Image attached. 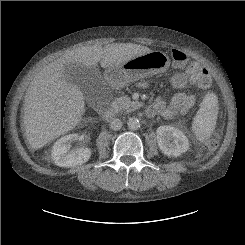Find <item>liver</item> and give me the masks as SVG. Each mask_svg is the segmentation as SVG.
Instances as JSON below:
<instances>
[{
    "mask_svg": "<svg viewBox=\"0 0 245 245\" xmlns=\"http://www.w3.org/2000/svg\"><path fill=\"white\" fill-rule=\"evenodd\" d=\"M133 43H113L77 48L49 63L34 77L25 95L24 129L30 146L37 150L75 128L85 112L84 95L65 75L69 64L96 68L120 65L151 52Z\"/></svg>",
    "mask_w": 245,
    "mask_h": 245,
    "instance_id": "liver-1",
    "label": "liver"
}]
</instances>
